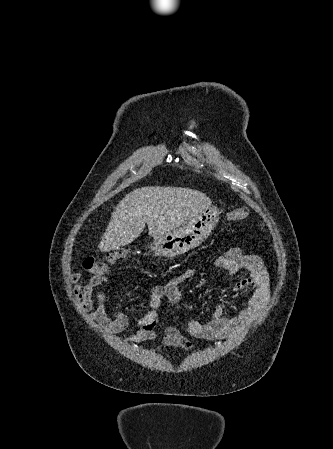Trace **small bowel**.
Returning a JSON list of instances; mask_svg holds the SVG:
<instances>
[{"instance_id": "c3829d8e", "label": "small bowel", "mask_w": 333, "mask_h": 449, "mask_svg": "<svg viewBox=\"0 0 333 449\" xmlns=\"http://www.w3.org/2000/svg\"><path fill=\"white\" fill-rule=\"evenodd\" d=\"M215 265L234 275L239 269L248 271V278L235 282L234 291L251 290L247 303L232 317L224 313V307L218 305L207 323L190 320L182 326H167L163 347L166 349L190 350L195 344L190 337L211 339H229L244 332L257 319L269 298V276L263 260L257 255L244 253L239 248H231L215 260ZM195 269H186L173 276L162 285L153 287L149 292V310L138 320V330L131 338L132 343H143L155 338V327L158 321V309L164 299L171 304L180 299V284L191 278ZM70 280L74 284V295L79 307L88 312L90 318L110 334H117L128 326V317L124 312L116 311L113 318L107 314V295L104 291L94 290L108 283L105 274H93L85 279L80 271L72 272ZM94 298L96 307L94 308Z\"/></svg>"}]
</instances>
